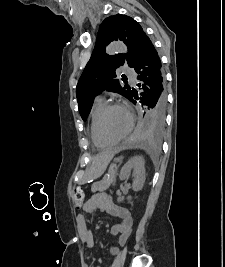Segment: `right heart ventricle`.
Listing matches in <instances>:
<instances>
[{
  "mask_svg": "<svg viewBox=\"0 0 225 267\" xmlns=\"http://www.w3.org/2000/svg\"><path fill=\"white\" fill-rule=\"evenodd\" d=\"M104 106L105 104L102 101L97 100L93 104L89 115V136L92 144L99 149L109 148L113 146L112 144L105 142L99 136L97 131V120Z\"/></svg>",
  "mask_w": 225,
  "mask_h": 267,
  "instance_id": "obj_1",
  "label": "right heart ventricle"
}]
</instances>
